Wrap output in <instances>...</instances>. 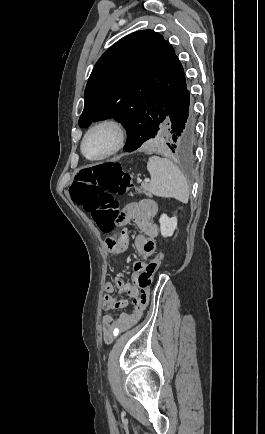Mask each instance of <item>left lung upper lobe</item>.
Masks as SVG:
<instances>
[{"mask_svg": "<svg viewBox=\"0 0 265 434\" xmlns=\"http://www.w3.org/2000/svg\"><path fill=\"white\" fill-rule=\"evenodd\" d=\"M186 85L171 44L152 30L137 31L98 60L85 89L79 126L114 118L127 135L161 125V118Z\"/></svg>", "mask_w": 265, "mask_h": 434, "instance_id": "obj_1", "label": "left lung upper lobe"}]
</instances>
